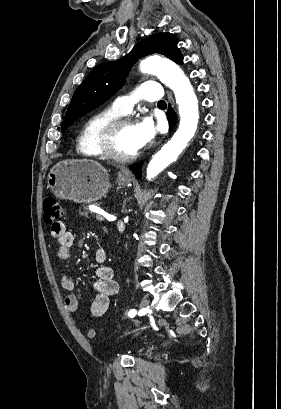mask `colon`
I'll list each match as a JSON object with an SVG mask.
<instances>
[{
    "label": "colon",
    "instance_id": "5ec220e1",
    "mask_svg": "<svg viewBox=\"0 0 281 409\" xmlns=\"http://www.w3.org/2000/svg\"><path fill=\"white\" fill-rule=\"evenodd\" d=\"M43 212L45 222H53L62 216V205L55 197H45L43 200ZM88 336H95L94 329L88 330Z\"/></svg>",
    "mask_w": 281,
    "mask_h": 409
}]
</instances>
